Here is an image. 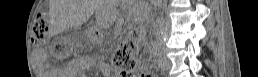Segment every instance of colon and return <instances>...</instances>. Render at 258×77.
I'll return each mask as SVG.
<instances>
[{
    "mask_svg": "<svg viewBox=\"0 0 258 77\" xmlns=\"http://www.w3.org/2000/svg\"><path fill=\"white\" fill-rule=\"evenodd\" d=\"M49 37V22L45 14H38L33 27L35 43H46ZM144 37L142 29H135L113 54L112 65L117 71H130L135 65L134 53Z\"/></svg>",
    "mask_w": 258,
    "mask_h": 77,
    "instance_id": "colon-1",
    "label": "colon"
}]
</instances>
